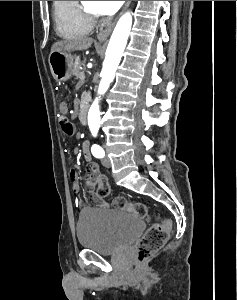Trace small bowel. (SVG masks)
<instances>
[{
    "mask_svg": "<svg viewBox=\"0 0 237 300\" xmlns=\"http://www.w3.org/2000/svg\"><path fill=\"white\" fill-rule=\"evenodd\" d=\"M60 110L62 112H67L68 110V106L66 103H61L60 105ZM81 152L84 156V158L87 160V161H90V153H89V143L87 141H84L81 145ZM89 169L92 171V172H96L98 170V166L95 164V163H90L89 165ZM71 179L73 181V189L75 192H78L79 191V184L77 182V179H78V174L77 172L72 169L71 170ZM91 199L92 201H94L98 206L100 207H107V203L103 200H101L99 197H97L96 195H92L91 196Z\"/></svg>",
    "mask_w": 237,
    "mask_h": 300,
    "instance_id": "obj_1",
    "label": "small bowel"
}]
</instances>
